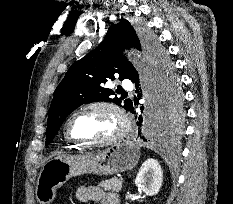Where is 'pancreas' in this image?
<instances>
[{"instance_id":"obj_1","label":"pancreas","mask_w":233,"mask_h":204,"mask_svg":"<svg viewBox=\"0 0 233 204\" xmlns=\"http://www.w3.org/2000/svg\"><path fill=\"white\" fill-rule=\"evenodd\" d=\"M104 191L120 192L122 190V180L118 178H111L104 180L98 184Z\"/></svg>"}]
</instances>
